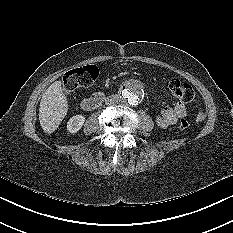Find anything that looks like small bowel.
Wrapping results in <instances>:
<instances>
[{
  "label": "small bowel",
  "mask_w": 233,
  "mask_h": 233,
  "mask_svg": "<svg viewBox=\"0 0 233 233\" xmlns=\"http://www.w3.org/2000/svg\"><path fill=\"white\" fill-rule=\"evenodd\" d=\"M187 108L184 102L178 101L173 106L164 107L155 117V122L160 128H168L176 124L180 119L186 117Z\"/></svg>",
  "instance_id": "1"
}]
</instances>
